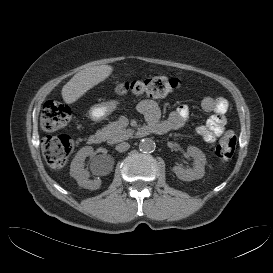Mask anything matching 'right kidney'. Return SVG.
<instances>
[{
	"mask_svg": "<svg viewBox=\"0 0 273 273\" xmlns=\"http://www.w3.org/2000/svg\"><path fill=\"white\" fill-rule=\"evenodd\" d=\"M93 154V148L91 146H86L81 148L70 165V176L73 177L79 186L86 189H93L94 184L88 179V171L84 169V161L86 157Z\"/></svg>",
	"mask_w": 273,
	"mask_h": 273,
	"instance_id": "right-kidney-1",
	"label": "right kidney"
}]
</instances>
